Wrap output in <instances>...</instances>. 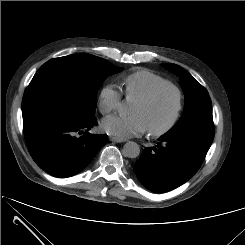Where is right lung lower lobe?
<instances>
[{"mask_svg": "<svg viewBox=\"0 0 245 245\" xmlns=\"http://www.w3.org/2000/svg\"><path fill=\"white\" fill-rule=\"evenodd\" d=\"M97 125L57 122L25 131V141L33 160L48 174L65 178L80 172L107 143V135L85 132ZM83 134L75 137V133Z\"/></svg>", "mask_w": 245, "mask_h": 245, "instance_id": "right-lung-lower-lobe-1", "label": "right lung lower lobe"}]
</instances>
